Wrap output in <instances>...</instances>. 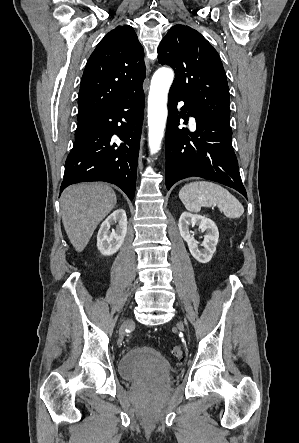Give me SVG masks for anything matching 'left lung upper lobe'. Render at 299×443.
I'll return each instance as SVG.
<instances>
[{
    "mask_svg": "<svg viewBox=\"0 0 299 443\" xmlns=\"http://www.w3.org/2000/svg\"><path fill=\"white\" fill-rule=\"evenodd\" d=\"M158 60L175 71L170 91L196 109L230 124L229 88L216 50L196 30L173 26L161 41Z\"/></svg>",
    "mask_w": 299,
    "mask_h": 443,
    "instance_id": "left-lung-upper-lobe-1",
    "label": "left lung upper lobe"
}]
</instances>
